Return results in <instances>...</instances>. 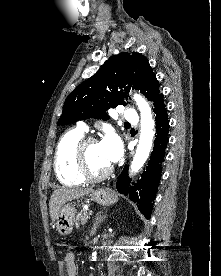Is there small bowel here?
<instances>
[{
	"label": "small bowel",
	"mask_w": 221,
	"mask_h": 276,
	"mask_svg": "<svg viewBox=\"0 0 221 276\" xmlns=\"http://www.w3.org/2000/svg\"><path fill=\"white\" fill-rule=\"evenodd\" d=\"M63 265L67 276H77V265L75 262V254L73 251L67 252L63 261ZM90 276H92V274Z\"/></svg>",
	"instance_id": "1"
}]
</instances>
